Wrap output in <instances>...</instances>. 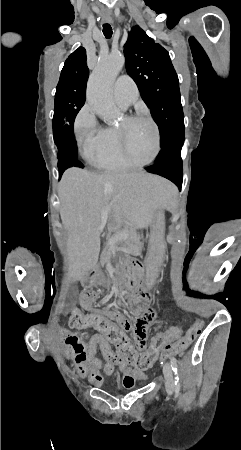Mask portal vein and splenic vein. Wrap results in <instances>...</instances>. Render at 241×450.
Segmentation results:
<instances>
[{
	"mask_svg": "<svg viewBox=\"0 0 241 450\" xmlns=\"http://www.w3.org/2000/svg\"><path fill=\"white\" fill-rule=\"evenodd\" d=\"M113 226H116V224H113ZM124 234H127V231H121V233H117V236H123ZM117 236H113V238H110L109 242H114L115 238H117Z\"/></svg>",
	"mask_w": 241,
	"mask_h": 450,
	"instance_id": "18ae733b",
	"label": "portal vein and splenic vein"
}]
</instances>
